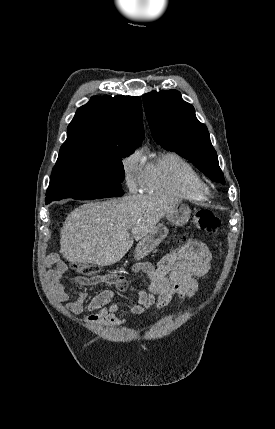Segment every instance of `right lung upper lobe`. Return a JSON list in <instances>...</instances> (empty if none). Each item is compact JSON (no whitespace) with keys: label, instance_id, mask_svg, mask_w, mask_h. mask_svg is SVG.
Wrapping results in <instances>:
<instances>
[{"label":"right lung upper lobe","instance_id":"right-lung-upper-lobe-1","mask_svg":"<svg viewBox=\"0 0 275 429\" xmlns=\"http://www.w3.org/2000/svg\"><path fill=\"white\" fill-rule=\"evenodd\" d=\"M144 138L139 97L94 96L67 128L59 157L133 152Z\"/></svg>","mask_w":275,"mask_h":429}]
</instances>
